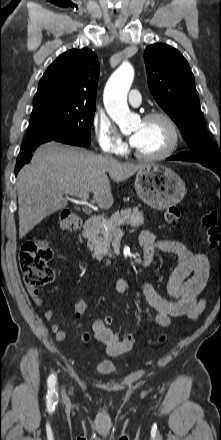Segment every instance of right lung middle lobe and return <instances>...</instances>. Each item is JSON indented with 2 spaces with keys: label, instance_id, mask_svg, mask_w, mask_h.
<instances>
[{
  "label": "right lung middle lobe",
  "instance_id": "right-lung-middle-lobe-1",
  "mask_svg": "<svg viewBox=\"0 0 221 440\" xmlns=\"http://www.w3.org/2000/svg\"><path fill=\"white\" fill-rule=\"evenodd\" d=\"M95 105L40 101L34 103L27 138L67 137L89 146Z\"/></svg>",
  "mask_w": 221,
  "mask_h": 440
}]
</instances>
